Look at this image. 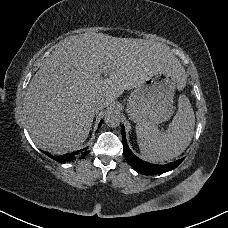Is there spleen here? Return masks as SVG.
<instances>
[{"instance_id": "1", "label": "spleen", "mask_w": 228, "mask_h": 228, "mask_svg": "<svg viewBox=\"0 0 228 228\" xmlns=\"http://www.w3.org/2000/svg\"><path fill=\"white\" fill-rule=\"evenodd\" d=\"M194 131V113L189 100L179 98V110L169 124L166 133L153 125L139 122L136 135L144 160L163 163L180 155L191 142Z\"/></svg>"}]
</instances>
